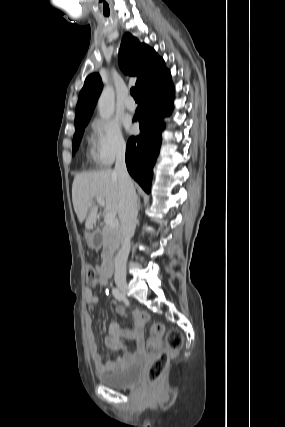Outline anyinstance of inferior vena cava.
<instances>
[{
	"mask_svg": "<svg viewBox=\"0 0 285 427\" xmlns=\"http://www.w3.org/2000/svg\"><path fill=\"white\" fill-rule=\"evenodd\" d=\"M125 147L122 146L117 153L114 172L118 176L120 202L119 217L122 226V246L115 258V274H126V262L130 251V240L134 235L137 223V196L131 177L125 163Z\"/></svg>",
	"mask_w": 285,
	"mask_h": 427,
	"instance_id": "inferior-vena-cava-1",
	"label": "inferior vena cava"
}]
</instances>
